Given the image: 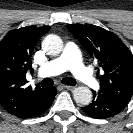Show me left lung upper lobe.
Masks as SVG:
<instances>
[{
	"label": "left lung upper lobe",
	"instance_id": "obj_1",
	"mask_svg": "<svg viewBox=\"0 0 133 133\" xmlns=\"http://www.w3.org/2000/svg\"><path fill=\"white\" fill-rule=\"evenodd\" d=\"M90 56L98 62L102 72L100 90L96 93L128 104L133 95V56L120 38L99 26L68 24Z\"/></svg>",
	"mask_w": 133,
	"mask_h": 133
}]
</instances>
